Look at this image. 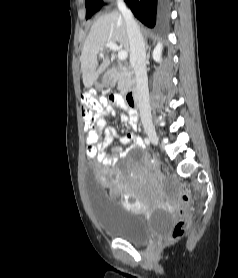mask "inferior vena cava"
<instances>
[{
  "label": "inferior vena cava",
  "instance_id": "1",
  "mask_svg": "<svg viewBox=\"0 0 238 278\" xmlns=\"http://www.w3.org/2000/svg\"><path fill=\"white\" fill-rule=\"evenodd\" d=\"M117 5L127 26L130 42V63L136 76L135 95L139 106L141 120L145 126H152L146 71L145 42L139 26L133 18L132 12L127 9L124 1L117 0Z\"/></svg>",
  "mask_w": 238,
  "mask_h": 278
}]
</instances>
